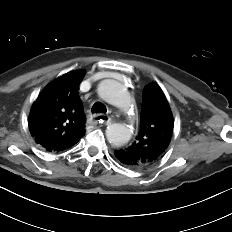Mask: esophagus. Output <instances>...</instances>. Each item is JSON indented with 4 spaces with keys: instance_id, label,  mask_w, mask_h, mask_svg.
Wrapping results in <instances>:
<instances>
[{
    "instance_id": "34e87169",
    "label": "esophagus",
    "mask_w": 232,
    "mask_h": 232,
    "mask_svg": "<svg viewBox=\"0 0 232 232\" xmlns=\"http://www.w3.org/2000/svg\"><path fill=\"white\" fill-rule=\"evenodd\" d=\"M110 122H111V119L107 115L98 114L92 117V123L94 125H97V124L108 125Z\"/></svg>"
}]
</instances>
